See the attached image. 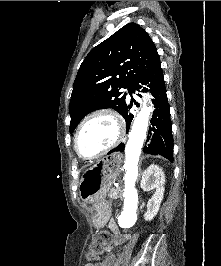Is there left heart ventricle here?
I'll use <instances>...</instances> for the list:
<instances>
[{
    "label": "left heart ventricle",
    "instance_id": "b2bd125f",
    "mask_svg": "<svg viewBox=\"0 0 221 266\" xmlns=\"http://www.w3.org/2000/svg\"><path fill=\"white\" fill-rule=\"evenodd\" d=\"M117 135L115 121L107 115L92 118L83 128L79 147L84 155L91 156L107 147Z\"/></svg>",
    "mask_w": 221,
    "mask_h": 266
}]
</instances>
